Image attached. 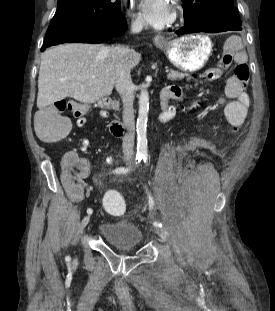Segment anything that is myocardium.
Masks as SVG:
<instances>
[{"mask_svg": "<svg viewBox=\"0 0 275 311\" xmlns=\"http://www.w3.org/2000/svg\"><path fill=\"white\" fill-rule=\"evenodd\" d=\"M179 15V11L176 12L175 14V18H177V16Z\"/></svg>", "mask_w": 275, "mask_h": 311, "instance_id": "myocardium-1", "label": "myocardium"}]
</instances>
